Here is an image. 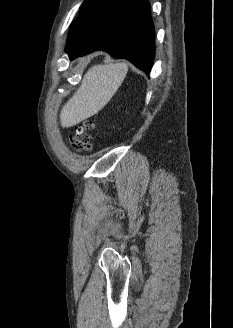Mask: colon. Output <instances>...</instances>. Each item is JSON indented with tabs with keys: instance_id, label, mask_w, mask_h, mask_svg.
Listing matches in <instances>:
<instances>
[{
	"instance_id": "1",
	"label": "colon",
	"mask_w": 233,
	"mask_h": 328,
	"mask_svg": "<svg viewBox=\"0 0 233 328\" xmlns=\"http://www.w3.org/2000/svg\"><path fill=\"white\" fill-rule=\"evenodd\" d=\"M90 128L89 122H83L79 125L75 133L70 138V145L76 150H84L90 145Z\"/></svg>"
}]
</instances>
